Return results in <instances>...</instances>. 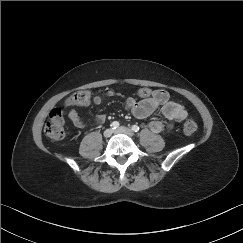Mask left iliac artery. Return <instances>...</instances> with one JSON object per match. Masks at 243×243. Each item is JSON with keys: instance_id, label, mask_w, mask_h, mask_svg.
I'll list each match as a JSON object with an SVG mask.
<instances>
[{"instance_id": "44dca946", "label": "left iliac artery", "mask_w": 243, "mask_h": 243, "mask_svg": "<svg viewBox=\"0 0 243 243\" xmlns=\"http://www.w3.org/2000/svg\"><path fill=\"white\" fill-rule=\"evenodd\" d=\"M132 130H133L134 132H138V131H139V127H138L137 125H133V126H132Z\"/></svg>"}]
</instances>
